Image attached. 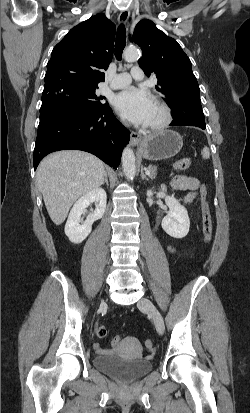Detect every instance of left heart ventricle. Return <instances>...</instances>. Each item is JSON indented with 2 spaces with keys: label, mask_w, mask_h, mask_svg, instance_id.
I'll list each match as a JSON object with an SVG mask.
<instances>
[{
  "label": "left heart ventricle",
  "mask_w": 250,
  "mask_h": 413,
  "mask_svg": "<svg viewBox=\"0 0 250 413\" xmlns=\"http://www.w3.org/2000/svg\"><path fill=\"white\" fill-rule=\"evenodd\" d=\"M160 119H161V112H160L159 108L153 103L147 125L155 124V123L159 122Z\"/></svg>",
  "instance_id": "1"
}]
</instances>
